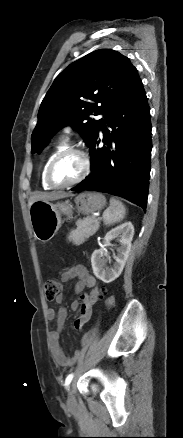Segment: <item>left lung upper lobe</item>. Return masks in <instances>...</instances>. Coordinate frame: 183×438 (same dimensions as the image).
Returning <instances> with one entry per match:
<instances>
[{
  "label": "left lung upper lobe",
  "mask_w": 183,
  "mask_h": 438,
  "mask_svg": "<svg viewBox=\"0 0 183 438\" xmlns=\"http://www.w3.org/2000/svg\"><path fill=\"white\" fill-rule=\"evenodd\" d=\"M137 77L130 60L111 49L91 52L70 64L54 80L41 103L31 136L32 152L40 153L65 125L79 131L90 146L102 122L90 115L106 116Z\"/></svg>",
  "instance_id": "obj_1"
}]
</instances>
